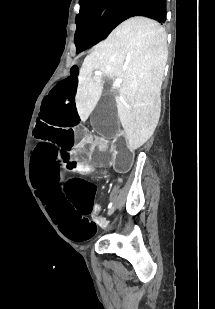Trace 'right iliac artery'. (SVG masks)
Returning a JSON list of instances; mask_svg holds the SVG:
<instances>
[{"label":"right iliac artery","instance_id":"82829eb1","mask_svg":"<svg viewBox=\"0 0 215 309\" xmlns=\"http://www.w3.org/2000/svg\"><path fill=\"white\" fill-rule=\"evenodd\" d=\"M112 207V203H110L109 205H108V209H110Z\"/></svg>","mask_w":215,"mask_h":309}]
</instances>
